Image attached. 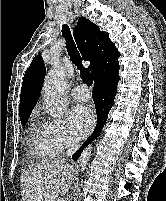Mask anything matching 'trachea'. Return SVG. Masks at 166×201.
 Wrapping results in <instances>:
<instances>
[{
	"instance_id": "obj_1",
	"label": "trachea",
	"mask_w": 166,
	"mask_h": 201,
	"mask_svg": "<svg viewBox=\"0 0 166 201\" xmlns=\"http://www.w3.org/2000/svg\"><path fill=\"white\" fill-rule=\"evenodd\" d=\"M62 34L66 40V47H67V51H68V54L70 56V59L77 66V68L80 70V76H81L82 80L86 84L92 85L93 84L92 75H91L90 71L87 68H84L81 64V57H80V54H79V52L76 48V45L73 41L71 31H70L68 25H66V24L63 25Z\"/></svg>"
}]
</instances>
